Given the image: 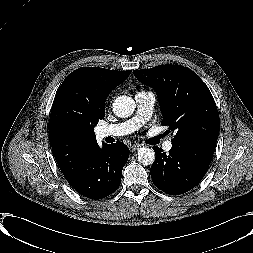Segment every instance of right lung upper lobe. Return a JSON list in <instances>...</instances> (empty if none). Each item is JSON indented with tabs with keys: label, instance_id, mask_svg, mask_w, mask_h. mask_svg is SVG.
<instances>
[{
	"label": "right lung upper lobe",
	"instance_id": "1",
	"mask_svg": "<svg viewBox=\"0 0 253 253\" xmlns=\"http://www.w3.org/2000/svg\"><path fill=\"white\" fill-rule=\"evenodd\" d=\"M131 70L83 67L68 75L56 92L49 121L51 147L66 180L74 177L97 146L93 127L105 116V99Z\"/></svg>",
	"mask_w": 253,
	"mask_h": 253
}]
</instances>
